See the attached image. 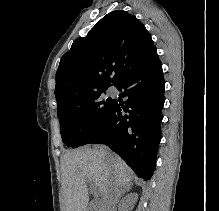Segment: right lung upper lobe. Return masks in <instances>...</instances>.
Instances as JSON below:
<instances>
[{"label":"right lung upper lobe","mask_w":219,"mask_h":211,"mask_svg":"<svg viewBox=\"0 0 219 211\" xmlns=\"http://www.w3.org/2000/svg\"><path fill=\"white\" fill-rule=\"evenodd\" d=\"M157 56L145 26L124 10L112 11L62 56L56 73L57 103L115 86Z\"/></svg>","instance_id":"obj_1"}]
</instances>
